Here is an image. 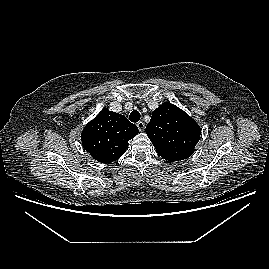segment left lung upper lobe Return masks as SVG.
I'll return each mask as SVG.
<instances>
[{
    "label": "left lung upper lobe",
    "mask_w": 269,
    "mask_h": 269,
    "mask_svg": "<svg viewBox=\"0 0 269 269\" xmlns=\"http://www.w3.org/2000/svg\"><path fill=\"white\" fill-rule=\"evenodd\" d=\"M146 133L157 153L162 158L174 162L193 154L201 130L186 112L165 102L153 111Z\"/></svg>",
    "instance_id": "obj_1"
}]
</instances>
